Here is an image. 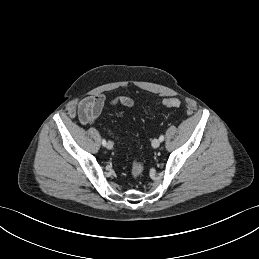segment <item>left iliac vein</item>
Listing matches in <instances>:
<instances>
[{"instance_id": "left-iliac-vein-1", "label": "left iliac vein", "mask_w": 259, "mask_h": 259, "mask_svg": "<svg viewBox=\"0 0 259 259\" xmlns=\"http://www.w3.org/2000/svg\"><path fill=\"white\" fill-rule=\"evenodd\" d=\"M160 146V140L159 139H154L152 141V147L153 148H158Z\"/></svg>"}]
</instances>
